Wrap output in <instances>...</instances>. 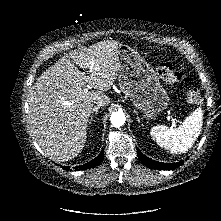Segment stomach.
<instances>
[{"label": "stomach", "instance_id": "0dacf381", "mask_svg": "<svg viewBox=\"0 0 221 221\" xmlns=\"http://www.w3.org/2000/svg\"><path fill=\"white\" fill-rule=\"evenodd\" d=\"M116 54L121 91L145 118H155L167 107L169 97L153 68L126 44L120 43Z\"/></svg>", "mask_w": 221, "mask_h": 221}]
</instances>
